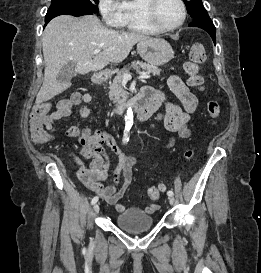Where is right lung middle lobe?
<instances>
[{"instance_id":"dd1d6c3e","label":"right lung middle lobe","mask_w":261,"mask_h":273,"mask_svg":"<svg viewBox=\"0 0 261 273\" xmlns=\"http://www.w3.org/2000/svg\"><path fill=\"white\" fill-rule=\"evenodd\" d=\"M98 2L99 0H52L46 19H52L62 14L77 16L74 9L75 4H80L86 14L98 13Z\"/></svg>"}]
</instances>
